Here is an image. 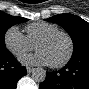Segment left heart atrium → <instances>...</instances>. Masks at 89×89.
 I'll return each instance as SVG.
<instances>
[{"instance_id": "39dd6f15", "label": "left heart atrium", "mask_w": 89, "mask_h": 89, "mask_svg": "<svg viewBox=\"0 0 89 89\" xmlns=\"http://www.w3.org/2000/svg\"><path fill=\"white\" fill-rule=\"evenodd\" d=\"M23 63L28 65H49L50 61L45 53L38 51L35 54L23 56L20 59Z\"/></svg>"}]
</instances>
